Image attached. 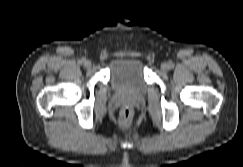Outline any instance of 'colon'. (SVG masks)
I'll return each instance as SVG.
<instances>
[{
	"label": "colon",
	"mask_w": 243,
	"mask_h": 167,
	"mask_svg": "<svg viewBox=\"0 0 243 167\" xmlns=\"http://www.w3.org/2000/svg\"><path fill=\"white\" fill-rule=\"evenodd\" d=\"M133 111L129 107H124L119 115V125L128 128L132 125Z\"/></svg>",
	"instance_id": "colon-1"
}]
</instances>
